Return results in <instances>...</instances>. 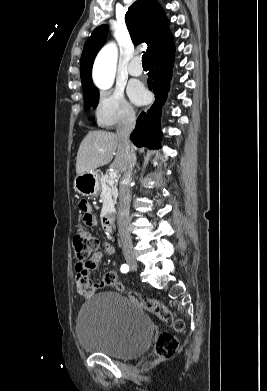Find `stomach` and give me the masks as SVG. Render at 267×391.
Here are the masks:
<instances>
[{
  "label": "stomach",
  "mask_w": 267,
  "mask_h": 391,
  "mask_svg": "<svg viewBox=\"0 0 267 391\" xmlns=\"http://www.w3.org/2000/svg\"><path fill=\"white\" fill-rule=\"evenodd\" d=\"M74 189L83 196H97L100 191L99 174L94 170L77 175L74 180Z\"/></svg>",
  "instance_id": "obj_1"
}]
</instances>
